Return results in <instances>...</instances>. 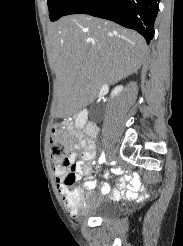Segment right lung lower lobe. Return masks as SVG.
<instances>
[{
    "instance_id": "right-lung-lower-lobe-1",
    "label": "right lung lower lobe",
    "mask_w": 183,
    "mask_h": 246,
    "mask_svg": "<svg viewBox=\"0 0 183 246\" xmlns=\"http://www.w3.org/2000/svg\"><path fill=\"white\" fill-rule=\"evenodd\" d=\"M159 0H76L65 15L88 14L139 32L147 44L154 36Z\"/></svg>"
}]
</instances>
